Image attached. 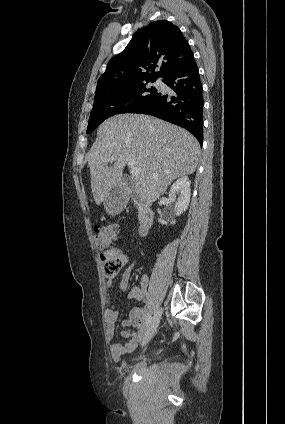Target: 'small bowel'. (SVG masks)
<instances>
[{"label":"small bowel","instance_id":"c3829d8e","mask_svg":"<svg viewBox=\"0 0 285 424\" xmlns=\"http://www.w3.org/2000/svg\"><path fill=\"white\" fill-rule=\"evenodd\" d=\"M123 265H128L122 274L119 288L126 291L128 288L131 272L134 268L135 262L129 263L128 256L123 253L121 255ZM114 283L113 278H109L106 283V290L109 291ZM148 288L147 276H142L138 286L131 289L128 293V299L141 301L145 300ZM147 305L144 307H133L129 310L127 317L122 321L123 328L121 336L128 339V342H115L111 345V355L114 360H118L123 354L132 351L138 342L142 339L146 320H147ZM119 318V311L115 307H111L105 311V324L104 332L105 338L108 342H112L115 335V325ZM134 328V329H131Z\"/></svg>","mask_w":285,"mask_h":424}]
</instances>
